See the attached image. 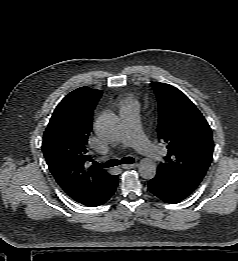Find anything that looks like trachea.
<instances>
[{
    "instance_id": "trachea-1",
    "label": "trachea",
    "mask_w": 238,
    "mask_h": 261,
    "mask_svg": "<svg viewBox=\"0 0 238 261\" xmlns=\"http://www.w3.org/2000/svg\"><path fill=\"white\" fill-rule=\"evenodd\" d=\"M121 164H133L134 158L132 157H124L120 161L117 159H111L103 164V167L110 168Z\"/></svg>"
}]
</instances>
